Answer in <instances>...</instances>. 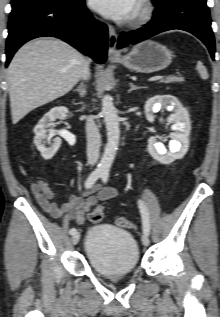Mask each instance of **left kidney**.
I'll use <instances>...</instances> for the list:
<instances>
[{
	"label": "left kidney",
	"instance_id": "obj_1",
	"mask_svg": "<svg viewBox=\"0 0 220 317\" xmlns=\"http://www.w3.org/2000/svg\"><path fill=\"white\" fill-rule=\"evenodd\" d=\"M161 107L174 111L170 120L174 123L171 129L175 132L170 134L172 140L169 142V151L162 143L157 142L155 137H150L148 152L160 163L169 164L176 159H181L188 151L191 124L188 111L172 95H156L148 99L144 106L146 119L149 122H154L153 113L158 112Z\"/></svg>",
	"mask_w": 220,
	"mask_h": 317
}]
</instances>
